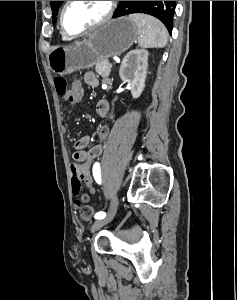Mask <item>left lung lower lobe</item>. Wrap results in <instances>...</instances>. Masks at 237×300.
Returning <instances> with one entry per match:
<instances>
[{
  "label": "left lung lower lobe",
  "mask_w": 237,
  "mask_h": 300,
  "mask_svg": "<svg viewBox=\"0 0 237 300\" xmlns=\"http://www.w3.org/2000/svg\"><path fill=\"white\" fill-rule=\"evenodd\" d=\"M171 1H164V5L170 4ZM176 5V4H175ZM116 18V17H114Z\"/></svg>",
  "instance_id": "obj_1"
}]
</instances>
